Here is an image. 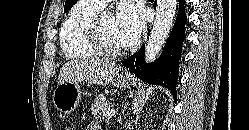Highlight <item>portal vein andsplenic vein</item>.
Segmentation results:
<instances>
[{
	"label": "portal vein and splenic vein",
	"mask_w": 249,
	"mask_h": 130,
	"mask_svg": "<svg viewBox=\"0 0 249 130\" xmlns=\"http://www.w3.org/2000/svg\"><path fill=\"white\" fill-rule=\"evenodd\" d=\"M115 114H116V111H115L114 109L108 110V111L105 113V117L111 118V117H113Z\"/></svg>",
	"instance_id": "1"
}]
</instances>
